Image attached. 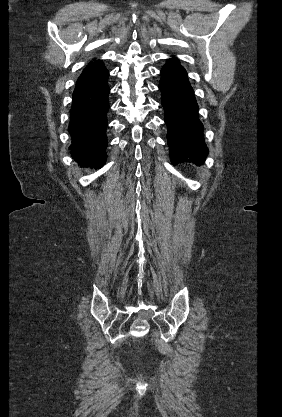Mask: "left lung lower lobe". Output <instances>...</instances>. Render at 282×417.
<instances>
[{"label":"left lung lower lobe","mask_w":282,"mask_h":417,"mask_svg":"<svg viewBox=\"0 0 282 417\" xmlns=\"http://www.w3.org/2000/svg\"><path fill=\"white\" fill-rule=\"evenodd\" d=\"M159 88L172 164L192 162L201 165L208 154L203 125L198 118V105L186 70L177 60L168 61L162 68Z\"/></svg>","instance_id":"1"}]
</instances>
